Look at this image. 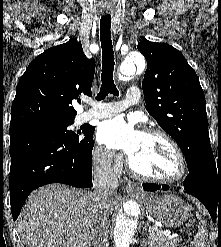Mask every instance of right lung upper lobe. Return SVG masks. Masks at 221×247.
<instances>
[{"mask_svg":"<svg viewBox=\"0 0 221 247\" xmlns=\"http://www.w3.org/2000/svg\"><path fill=\"white\" fill-rule=\"evenodd\" d=\"M94 71V59L85 56L74 38L44 51L19 80L10 130L73 121L77 112L72 100L80 94L92 95Z\"/></svg>","mask_w":221,"mask_h":247,"instance_id":"right-lung-upper-lobe-1","label":"right lung upper lobe"}]
</instances>
